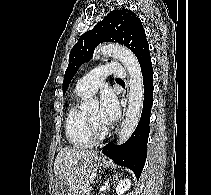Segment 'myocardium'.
Masks as SVG:
<instances>
[{
  "instance_id": "myocardium-1",
  "label": "myocardium",
  "mask_w": 211,
  "mask_h": 195,
  "mask_svg": "<svg viewBox=\"0 0 211 195\" xmlns=\"http://www.w3.org/2000/svg\"><path fill=\"white\" fill-rule=\"evenodd\" d=\"M86 119L89 132L94 140H103L109 135V130L107 128L100 130L88 115H86Z\"/></svg>"
}]
</instances>
